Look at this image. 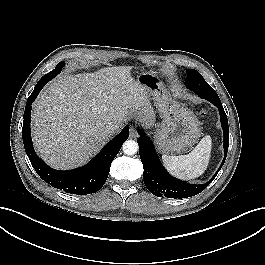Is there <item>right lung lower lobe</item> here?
Returning <instances> with one entry per match:
<instances>
[{"mask_svg":"<svg viewBox=\"0 0 265 265\" xmlns=\"http://www.w3.org/2000/svg\"><path fill=\"white\" fill-rule=\"evenodd\" d=\"M50 80L46 76L39 80L25 107L22 137L26 154L40 178L52 187L78 195L95 193L104 185L113 159L121 149L124 141L128 139L129 126L124 127L87 165L68 171L50 168L36 155L30 133L32 102L36 99L43 86Z\"/></svg>","mask_w":265,"mask_h":265,"instance_id":"98d812e1","label":"right lung lower lobe"}]
</instances>
